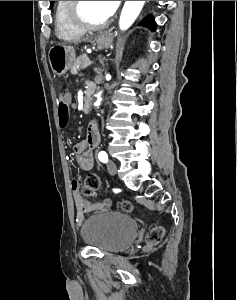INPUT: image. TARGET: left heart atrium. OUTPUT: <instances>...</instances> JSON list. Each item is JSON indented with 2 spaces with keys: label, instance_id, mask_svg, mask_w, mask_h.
<instances>
[{
  "label": "left heart atrium",
  "instance_id": "1",
  "mask_svg": "<svg viewBox=\"0 0 237 300\" xmlns=\"http://www.w3.org/2000/svg\"><path fill=\"white\" fill-rule=\"evenodd\" d=\"M120 1H106L111 13L113 14L119 6Z\"/></svg>",
  "mask_w": 237,
  "mask_h": 300
}]
</instances>
